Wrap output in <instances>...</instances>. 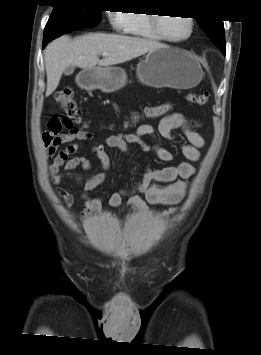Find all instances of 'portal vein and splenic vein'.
Segmentation results:
<instances>
[{
	"mask_svg": "<svg viewBox=\"0 0 261 355\" xmlns=\"http://www.w3.org/2000/svg\"><path fill=\"white\" fill-rule=\"evenodd\" d=\"M102 55L106 57V56H108V55H109V53L104 52Z\"/></svg>",
	"mask_w": 261,
	"mask_h": 355,
	"instance_id": "obj_1",
	"label": "portal vein and splenic vein"
}]
</instances>
